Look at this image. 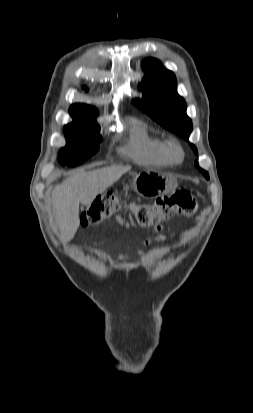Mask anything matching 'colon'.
Here are the masks:
<instances>
[{
    "mask_svg": "<svg viewBox=\"0 0 253 413\" xmlns=\"http://www.w3.org/2000/svg\"><path fill=\"white\" fill-rule=\"evenodd\" d=\"M198 199L185 189L158 197L154 203L123 202L114 193L97 198L81 215L82 225L98 224L121 210H128L141 227H157L175 215L192 216Z\"/></svg>",
    "mask_w": 253,
    "mask_h": 413,
    "instance_id": "5ec220e1",
    "label": "colon"
}]
</instances>
